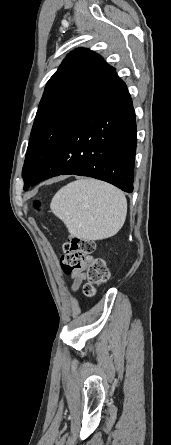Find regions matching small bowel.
I'll return each mask as SVG.
<instances>
[{"instance_id":"c3829d8e","label":"small bowel","mask_w":171,"mask_h":445,"mask_svg":"<svg viewBox=\"0 0 171 445\" xmlns=\"http://www.w3.org/2000/svg\"><path fill=\"white\" fill-rule=\"evenodd\" d=\"M69 275L73 280L72 291L76 292L79 289V286L82 283V281L85 279V274L82 272H74Z\"/></svg>"}]
</instances>
